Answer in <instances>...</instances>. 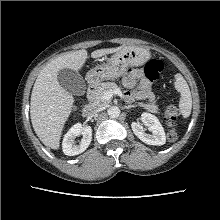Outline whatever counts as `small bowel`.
I'll use <instances>...</instances> for the list:
<instances>
[{"label": "small bowel", "instance_id": "obj_1", "mask_svg": "<svg viewBox=\"0 0 220 220\" xmlns=\"http://www.w3.org/2000/svg\"><path fill=\"white\" fill-rule=\"evenodd\" d=\"M123 84L127 88L136 87V96L141 99L152 100L151 84L147 78L144 77L143 73L139 69L129 70L123 78ZM127 99L132 100L134 94L128 92L126 94Z\"/></svg>", "mask_w": 220, "mask_h": 220}]
</instances>
